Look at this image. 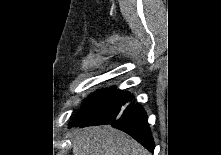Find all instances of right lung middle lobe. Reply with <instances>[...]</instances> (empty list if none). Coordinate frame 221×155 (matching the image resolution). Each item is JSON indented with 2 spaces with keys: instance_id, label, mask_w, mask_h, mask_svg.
I'll use <instances>...</instances> for the list:
<instances>
[{
  "instance_id": "1",
  "label": "right lung middle lobe",
  "mask_w": 221,
  "mask_h": 155,
  "mask_svg": "<svg viewBox=\"0 0 221 155\" xmlns=\"http://www.w3.org/2000/svg\"><path fill=\"white\" fill-rule=\"evenodd\" d=\"M105 91H106V89H101V90H98L97 92L91 94L89 97H87L81 112L78 114V116L73 121V123L69 125V127H71V126L75 127V126H78L79 124H81L97 107V105L101 101Z\"/></svg>"
}]
</instances>
